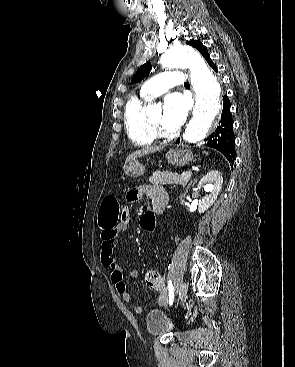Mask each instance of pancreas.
Here are the masks:
<instances>
[{
  "mask_svg": "<svg viewBox=\"0 0 295 367\" xmlns=\"http://www.w3.org/2000/svg\"><path fill=\"white\" fill-rule=\"evenodd\" d=\"M190 179L191 176H182L176 173L153 174L151 177H149V182L154 185L181 184L185 186Z\"/></svg>",
  "mask_w": 295,
  "mask_h": 367,
  "instance_id": "obj_1",
  "label": "pancreas"
}]
</instances>
